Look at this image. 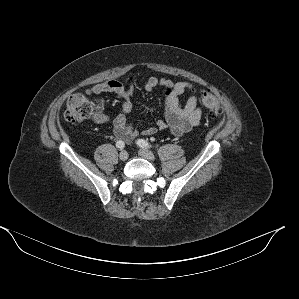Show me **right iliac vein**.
Listing matches in <instances>:
<instances>
[{
  "label": "right iliac vein",
  "instance_id": "63e3f726",
  "mask_svg": "<svg viewBox=\"0 0 299 299\" xmlns=\"http://www.w3.org/2000/svg\"><path fill=\"white\" fill-rule=\"evenodd\" d=\"M128 152L127 151H121L119 154V158L121 161H126L128 159Z\"/></svg>",
  "mask_w": 299,
  "mask_h": 299
}]
</instances>
